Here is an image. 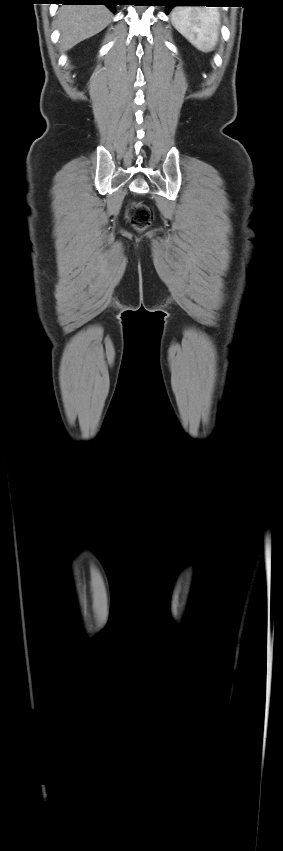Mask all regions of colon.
Returning a JSON list of instances; mask_svg holds the SVG:
<instances>
[{
  "mask_svg": "<svg viewBox=\"0 0 283 851\" xmlns=\"http://www.w3.org/2000/svg\"><path fill=\"white\" fill-rule=\"evenodd\" d=\"M127 218L138 230L146 229L153 220L151 209L142 203H131L126 212Z\"/></svg>",
  "mask_w": 283,
  "mask_h": 851,
  "instance_id": "5ec220e1",
  "label": "colon"
}]
</instances>
